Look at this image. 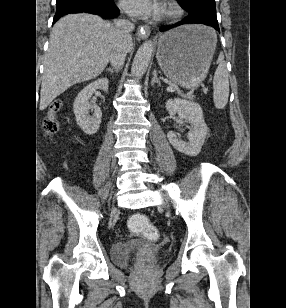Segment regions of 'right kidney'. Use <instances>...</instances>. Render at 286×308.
I'll return each mask as SVG.
<instances>
[{
	"label": "right kidney",
	"mask_w": 286,
	"mask_h": 308,
	"mask_svg": "<svg viewBox=\"0 0 286 308\" xmlns=\"http://www.w3.org/2000/svg\"><path fill=\"white\" fill-rule=\"evenodd\" d=\"M108 85V79H98L82 89L74 101L73 112L76 122L87 135H93L98 131L102 118L101 109L91 101V97L97 89L107 92ZM89 110L94 111L92 116Z\"/></svg>",
	"instance_id": "1"
}]
</instances>
